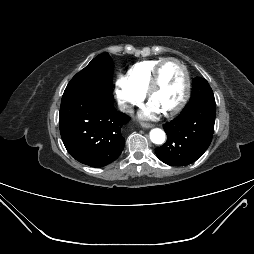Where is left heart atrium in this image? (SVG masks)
<instances>
[{"mask_svg":"<svg viewBox=\"0 0 254 254\" xmlns=\"http://www.w3.org/2000/svg\"><path fill=\"white\" fill-rule=\"evenodd\" d=\"M161 112V110H159L155 105L150 102L144 107L142 116L146 118H155Z\"/></svg>","mask_w":254,"mask_h":254,"instance_id":"1","label":"left heart atrium"}]
</instances>
